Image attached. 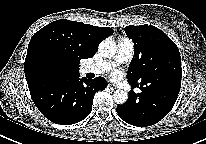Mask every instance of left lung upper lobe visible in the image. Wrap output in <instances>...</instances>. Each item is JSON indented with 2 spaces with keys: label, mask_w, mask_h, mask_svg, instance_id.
<instances>
[{
  "label": "left lung upper lobe",
  "mask_w": 206,
  "mask_h": 144,
  "mask_svg": "<svg viewBox=\"0 0 206 144\" xmlns=\"http://www.w3.org/2000/svg\"><path fill=\"white\" fill-rule=\"evenodd\" d=\"M125 33L134 42V56L127 72L129 83L148 88L181 87L179 49L163 31L140 25L125 27Z\"/></svg>",
  "instance_id": "5c2ea615"
}]
</instances>
